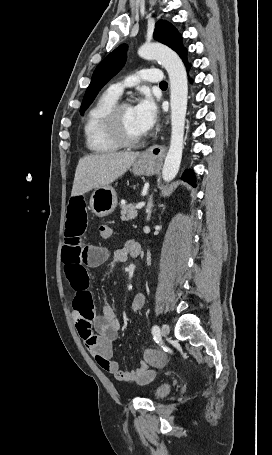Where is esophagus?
Listing matches in <instances>:
<instances>
[{"label": "esophagus", "instance_id": "esophagus-1", "mask_svg": "<svg viewBox=\"0 0 272 455\" xmlns=\"http://www.w3.org/2000/svg\"><path fill=\"white\" fill-rule=\"evenodd\" d=\"M166 123H168V120H167ZM165 153H166V147L165 146H163V145H152L146 150L145 155L150 157V158H153L155 160L161 161L163 159V157L165 156Z\"/></svg>", "mask_w": 272, "mask_h": 455}]
</instances>
